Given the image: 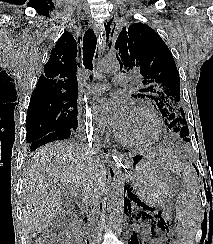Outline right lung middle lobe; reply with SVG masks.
I'll return each instance as SVG.
<instances>
[{"mask_svg": "<svg viewBox=\"0 0 213 244\" xmlns=\"http://www.w3.org/2000/svg\"><path fill=\"white\" fill-rule=\"evenodd\" d=\"M76 128V96H43L30 99L26 117L28 144L51 132Z\"/></svg>", "mask_w": 213, "mask_h": 244, "instance_id": "right-lung-middle-lobe-1", "label": "right lung middle lobe"}]
</instances>
